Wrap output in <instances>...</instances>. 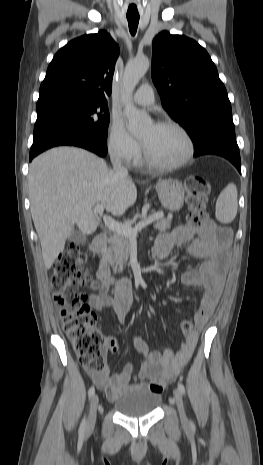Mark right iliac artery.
Listing matches in <instances>:
<instances>
[{
	"label": "right iliac artery",
	"mask_w": 263,
	"mask_h": 465,
	"mask_svg": "<svg viewBox=\"0 0 263 465\" xmlns=\"http://www.w3.org/2000/svg\"><path fill=\"white\" fill-rule=\"evenodd\" d=\"M94 392H95V389L94 387H90L89 391H88V396H89V399L94 395ZM85 428H86V418L84 417L81 424H80V428H79V435H83L84 432H85Z\"/></svg>",
	"instance_id": "obj_1"
}]
</instances>
